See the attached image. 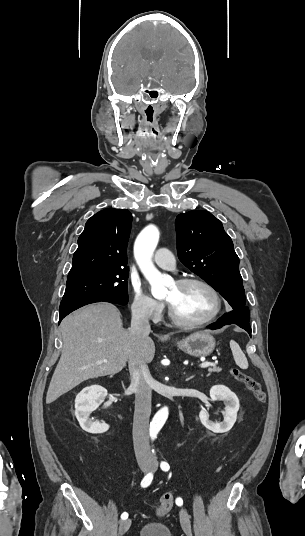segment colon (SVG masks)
Segmentation results:
<instances>
[{
	"instance_id": "colon-1",
	"label": "colon",
	"mask_w": 305,
	"mask_h": 536,
	"mask_svg": "<svg viewBox=\"0 0 305 536\" xmlns=\"http://www.w3.org/2000/svg\"><path fill=\"white\" fill-rule=\"evenodd\" d=\"M229 373L231 377H233L236 381L246 385V387L253 393L255 399L259 403H264L266 401V391L262 387L259 380L246 374L241 369L236 368V367H231L229 369ZM173 503H174L173 494L171 492L163 493L158 501V504L156 507V513L166 514L172 509Z\"/></svg>"
}]
</instances>
